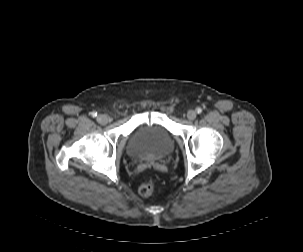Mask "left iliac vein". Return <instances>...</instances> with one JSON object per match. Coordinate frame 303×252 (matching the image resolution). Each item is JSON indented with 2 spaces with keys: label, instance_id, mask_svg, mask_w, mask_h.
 I'll return each mask as SVG.
<instances>
[{
  "label": "left iliac vein",
  "instance_id": "obj_1",
  "mask_svg": "<svg viewBox=\"0 0 303 252\" xmlns=\"http://www.w3.org/2000/svg\"><path fill=\"white\" fill-rule=\"evenodd\" d=\"M196 116H197V114H196V112L194 110H190L187 113V118L189 120H194L196 118Z\"/></svg>",
  "mask_w": 303,
  "mask_h": 252
}]
</instances>
